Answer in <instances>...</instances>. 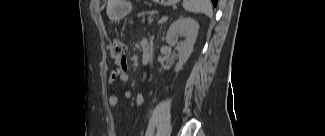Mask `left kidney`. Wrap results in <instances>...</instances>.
Segmentation results:
<instances>
[{"label": "left kidney", "instance_id": "5707ae66", "mask_svg": "<svg viewBox=\"0 0 325 136\" xmlns=\"http://www.w3.org/2000/svg\"><path fill=\"white\" fill-rule=\"evenodd\" d=\"M198 30V22L190 17H179V19L170 25L166 35V42L170 46L176 45V49L179 52L178 63L175 66L176 72L182 69L183 64L190 57L196 42ZM178 36L185 38L180 44L177 43Z\"/></svg>", "mask_w": 325, "mask_h": 136}]
</instances>
